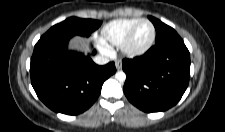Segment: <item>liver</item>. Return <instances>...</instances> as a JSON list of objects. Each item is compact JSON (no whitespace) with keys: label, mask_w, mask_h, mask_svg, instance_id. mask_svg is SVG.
<instances>
[{"label":"liver","mask_w":225,"mask_h":132,"mask_svg":"<svg viewBox=\"0 0 225 132\" xmlns=\"http://www.w3.org/2000/svg\"><path fill=\"white\" fill-rule=\"evenodd\" d=\"M72 49H75V50H80V51H87L88 48L87 46L85 45V43L78 37H76L75 39H73V41L71 42V46H70Z\"/></svg>","instance_id":"obj_1"}]
</instances>
